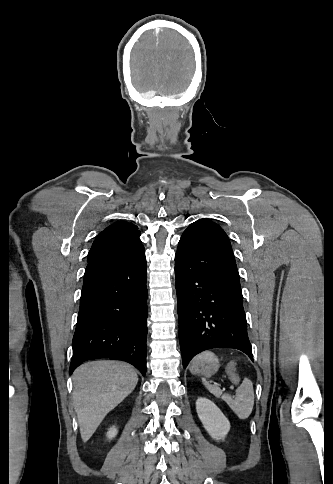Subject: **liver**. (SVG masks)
<instances>
[{
	"label": "liver",
	"instance_id": "obj_1",
	"mask_svg": "<svg viewBox=\"0 0 333 484\" xmlns=\"http://www.w3.org/2000/svg\"><path fill=\"white\" fill-rule=\"evenodd\" d=\"M72 377L73 405L86 442L105 416L135 389L138 377L130 365L110 360L87 362Z\"/></svg>",
	"mask_w": 333,
	"mask_h": 484
}]
</instances>
